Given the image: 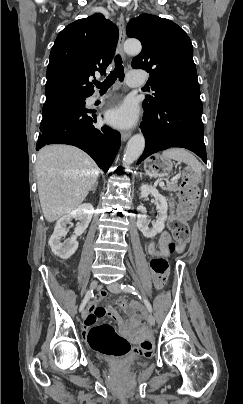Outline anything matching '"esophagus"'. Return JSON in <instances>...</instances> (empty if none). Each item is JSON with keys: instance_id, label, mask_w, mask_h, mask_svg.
I'll return each instance as SVG.
<instances>
[{"instance_id": "esophagus-1", "label": "esophagus", "mask_w": 243, "mask_h": 404, "mask_svg": "<svg viewBox=\"0 0 243 404\" xmlns=\"http://www.w3.org/2000/svg\"><path fill=\"white\" fill-rule=\"evenodd\" d=\"M118 27H119V41H118V50L121 56L125 59V54L123 52V44L125 41V19L123 13L120 14L119 16V21H118ZM131 136V132H122L121 133V138L125 142L129 137Z\"/></svg>"}]
</instances>
